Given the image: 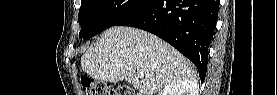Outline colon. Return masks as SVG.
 <instances>
[{
	"label": "colon",
	"mask_w": 277,
	"mask_h": 95,
	"mask_svg": "<svg viewBox=\"0 0 277 95\" xmlns=\"http://www.w3.org/2000/svg\"><path fill=\"white\" fill-rule=\"evenodd\" d=\"M82 86L88 95H139L130 86H120L117 89H113L102 81H96L87 77L82 79Z\"/></svg>",
	"instance_id": "5ec220e1"
}]
</instances>
